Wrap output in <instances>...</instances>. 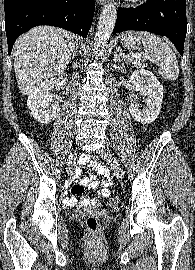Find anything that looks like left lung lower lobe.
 Returning <instances> with one entry per match:
<instances>
[{"instance_id": "obj_1", "label": "left lung lower lobe", "mask_w": 195, "mask_h": 270, "mask_svg": "<svg viewBox=\"0 0 195 270\" xmlns=\"http://www.w3.org/2000/svg\"><path fill=\"white\" fill-rule=\"evenodd\" d=\"M113 33L141 30L168 37L183 56L186 0H147L137 8H118Z\"/></svg>"}]
</instances>
